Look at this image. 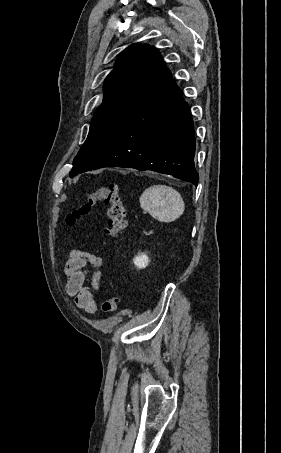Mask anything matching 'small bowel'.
<instances>
[{"mask_svg": "<svg viewBox=\"0 0 281 453\" xmlns=\"http://www.w3.org/2000/svg\"><path fill=\"white\" fill-rule=\"evenodd\" d=\"M104 266L105 263L100 256L86 252H73L66 263V290L74 299L76 306L89 315H94L98 311L92 293L98 290L99 285L103 283L96 272L103 269ZM87 268L94 271L89 287L84 285Z\"/></svg>", "mask_w": 281, "mask_h": 453, "instance_id": "small-bowel-1", "label": "small bowel"}]
</instances>
